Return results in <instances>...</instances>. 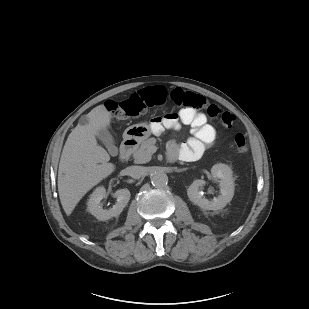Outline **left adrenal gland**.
<instances>
[{"label": "left adrenal gland", "mask_w": 309, "mask_h": 309, "mask_svg": "<svg viewBox=\"0 0 309 309\" xmlns=\"http://www.w3.org/2000/svg\"><path fill=\"white\" fill-rule=\"evenodd\" d=\"M183 170H186V168H183V169H176L175 171H176V172H180V171H183Z\"/></svg>", "instance_id": "1"}]
</instances>
